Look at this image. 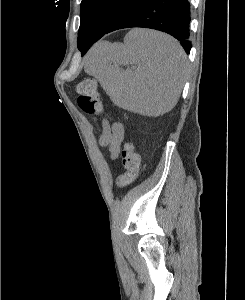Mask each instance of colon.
<instances>
[{
    "instance_id": "colon-1",
    "label": "colon",
    "mask_w": 245,
    "mask_h": 300,
    "mask_svg": "<svg viewBox=\"0 0 245 300\" xmlns=\"http://www.w3.org/2000/svg\"><path fill=\"white\" fill-rule=\"evenodd\" d=\"M77 103L80 109L88 114L95 115L102 112V102L94 79L81 80L77 85ZM124 172L116 178V185L124 187L131 184L140 170V156L132 142L125 143L122 150Z\"/></svg>"
}]
</instances>
